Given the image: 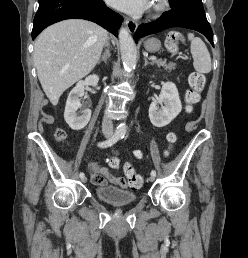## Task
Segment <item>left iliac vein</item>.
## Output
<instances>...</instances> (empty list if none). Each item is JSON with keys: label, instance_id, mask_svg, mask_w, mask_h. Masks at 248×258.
Instances as JSON below:
<instances>
[{"label": "left iliac vein", "instance_id": "obj_1", "mask_svg": "<svg viewBox=\"0 0 248 258\" xmlns=\"http://www.w3.org/2000/svg\"><path fill=\"white\" fill-rule=\"evenodd\" d=\"M154 180H155V176H152V175H151V176L149 177V181H150V182H153Z\"/></svg>", "mask_w": 248, "mask_h": 258}]
</instances>
